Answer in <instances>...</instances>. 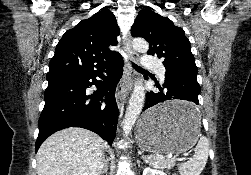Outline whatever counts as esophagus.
Instances as JSON below:
<instances>
[{
    "label": "esophagus",
    "mask_w": 251,
    "mask_h": 175,
    "mask_svg": "<svg viewBox=\"0 0 251 175\" xmlns=\"http://www.w3.org/2000/svg\"><path fill=\"white\" fill-rule=\"evenodd\" d=\"M124 49L130 63H128L126 67V74L123 75L116 89V101L119 109L122 108L124 94L130 88L132 79L136 73L131 63H137L139 59L138 53L131 46L130 37L124 39Z\"/></svg>",
    "instance_id": "34e87169"
}]
</instances>
